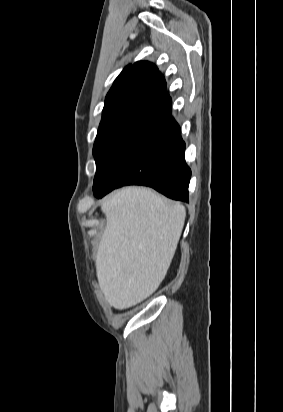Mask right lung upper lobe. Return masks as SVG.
<instances>
[{
    "instance_id": "right-lung-upper-lobe-1",
    "label": "right lung upper lobe",
    "mask_w": 283,
    "mask_h": 412,
    "mask_svg": "<svg viewBox=\"0 0 283 412\" xmlns=\"http://www.w3.org/2000/svg\"><path fill=\"white\" fill-rule=\"evenodd\" d=\"M172 101L166 82L156 66L147 61L128 65L108 92L102 119L118 115L162 113L170 111Z\"/></svg>"
}]
</instances>
